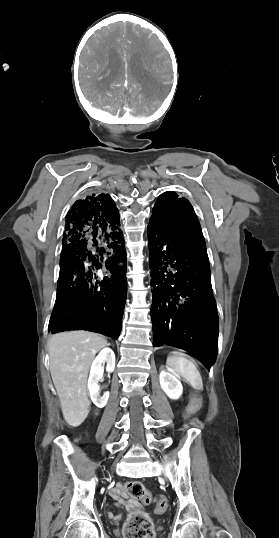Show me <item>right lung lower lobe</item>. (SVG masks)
<instances>
[{
  "instance_id": "right-lung-lower-lobe-1",
  "label": "right lung lower lobe",
  "mask_w": 279,
  "mask_h": 538,
  "mask_svg": "<svg viewBox=\"0 0 279 538\" xmlns=\"http://www.w3.org/2000/svg\"><path fill=\"white\" fill-rule=\"evenodd\" d=\"M119 212L108 194L77 200L66 216L49 332L100 331L118 337L127 296Z\"/></svg>"
}]
</instances>
